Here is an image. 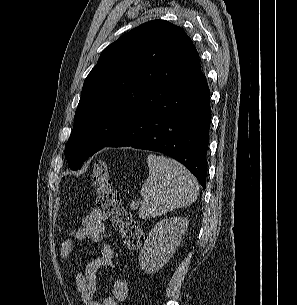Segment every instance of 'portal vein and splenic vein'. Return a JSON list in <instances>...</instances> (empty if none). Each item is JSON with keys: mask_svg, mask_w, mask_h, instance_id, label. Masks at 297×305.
<instances>
[{"mask_svg": "<svg viewBox=\"0 0 297 305\" xmlns=\"http://www.w3.org/2000/svg\"><path fill=\"white\" fill-rule=\"evenodd\" d=\"M136 205H138V204H134V203H133V204L131 205V207L134 208Z\"/></svg>", "mask_w": 297, "mask_h": 305, "instance_id": "1", "label": "portal vein and splenic vein"}]
</instances>
